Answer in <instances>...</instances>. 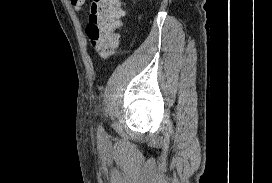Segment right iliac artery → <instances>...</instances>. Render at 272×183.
Wrapping results in <instances>:
<instances>
[{
	"label": "right iliac artery",
	"mask_w": 272,
	"mask_h": 183,
	"mask_svg": "<svg viewBox=\"0 0 272 183\" xmlns=\"http://www.w3.org/2000/svg\"><path fill=\"white\" fill-rule=\"evenodd\" d=\"M103 132H104V129L102 128V126H99V133L103 134Z\"/></svg>",
	"instance_id": "right-iliac-artery-1"
}]
</instances>
